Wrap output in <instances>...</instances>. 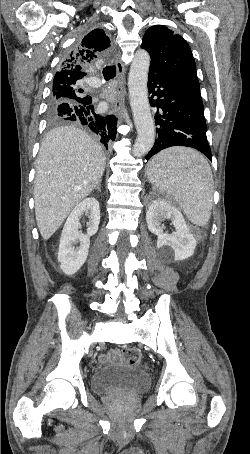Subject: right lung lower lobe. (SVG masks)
I'll return each instance as SVG.
<instances>
[{
	"mask_svg": "<svg viewBox=\"0 0 250 454\" xmlns=\"http://www.w3.org/2000/svg\"><path fill=\"white\" fill-rule=\"evenodd\" d=\"M57 115L63 120L76 121L96 135L107 148L108 142L116 137L117 121L114 115L100 116L95 113L91 97L80 103L61 102L56 107Z\"/></svg>",
	"mask_w": 250,
	"mask_h": 454,
	"instance_id": "right-lung-lower-lobe-1",
	"label": "right lung lower lobe"
}]
</instances>
